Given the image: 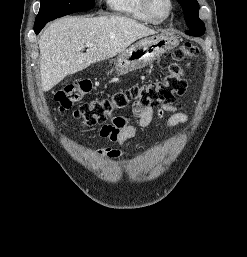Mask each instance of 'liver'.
Masks as SVG:
<instances>
[{
    "mask_svg": "<svg viewBox=\"0 0 247 257\" xmlns=\"http://www.w3.org/2000/svg\"><path fill=\"white\" fill-rule=\"evenodd\" d=\"M156 32L122 16L64 17L52 22L39 40L43 91L64 77L125 51L136 40ZM93 43L86 53L81 49Z\"/></svg>",
    "mask_w": 247,
    "mask_h": 257,
    "instance_id": "liver-1",
    "label": "liver"
}]
</instances>
